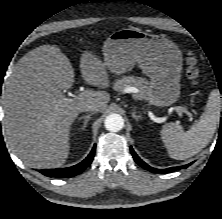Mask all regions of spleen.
<instances>
[{
	"mask_svg": "<svg viewBox=\"0 0 222 219\" xmlns=\"http://www.w3.org/2000/svg\"><path fill=\"white\" fill-rule=\"evenodd\" d=\"M221 102L219 91L213 90L200 121L188 131L176 123H167L162 127L161 138L171 158L185 160L207 146L220 121Z\"/></svg>",
	"mask_w": 222,
	"mask_h": 219,
	"instance_id": "obj_1",
	"label": "spleen"
}]
</instances>
